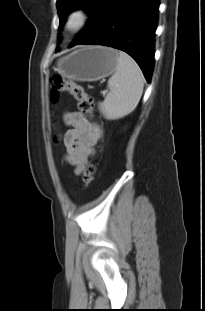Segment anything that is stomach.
Wrapping results in <instances>:
<instances>
[{"label":"stomach","mask_w":205,"mask_h":311,"mask_svg":"<svg viewBox=\"0 0 205 311\" xmlns=\"http://www.w3.org/2000/svg\"><path fill=\"white\" fill-rule=\"evenodd\" d=\"M118 52L104 46H84L61 57L55 71L73 81L94 82L113 74L117 68Z\"/></svg>","instance_id":"0dacf381"}]
</instances>
